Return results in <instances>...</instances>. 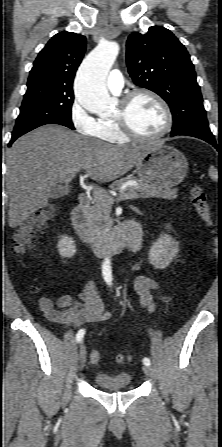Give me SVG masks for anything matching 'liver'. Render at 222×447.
I'll return each mask as SVG.
<instances>
[{
	"instance_id": "6515ba94",
	"label": "liver",
	"mask_w": 222,
	"mask_h": 447,
	"mask_svg": "<svg viewBox=\"0 0 222 447\" xmlns=\"http://www.w3.org/2000/svg\"><path fill=\"white\" fill-rule=\"evenodd\" d=\"M152 145H111L57 125L20 137L6 158L9 226L16 228L45 207L53 188L71 182L81 169L93 180L113 181L137 165Z\"/></svg>"
}]
</instances>
